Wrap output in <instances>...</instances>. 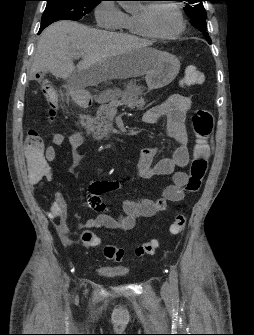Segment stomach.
<instances>
[{
    "label": "stomach",
    "instance_id": "0dacf381",
    "mask_svg": "<svg viewBox=\"0 0 254 335\" xmlns=\"http://www.w3.org/2000/svg\"><path fill=\"white\" fill-rule=\"evenodd\" d=\"M148 51L154 58V64L145 76L148 89H160L169 85L179 73V59L165 51L153 48H148Z\"/></svg>",
    "mask_w": 254,
    "mask_h": 335
}]
</instances>
